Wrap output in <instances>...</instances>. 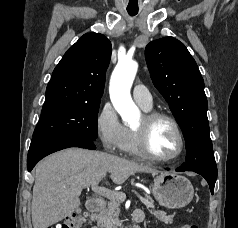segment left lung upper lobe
<instances>
[{"label":"left lung upper lobe","mask_w":238,"mask_h":228,"mask_svg":"<svg viewBox=\"0 0 238 228\" xmlns=\"http://www.w3.org/2000/svg\"><path fill=\"white\" fill-rule=\"evenodd\" d=\"M145 58L154 86L182 129L187 150L182 167L217 174L204 81L195 60L184 44L172 37L150 42Z\"/></svg>","instance_id":"obj_1"}]
</instances>
